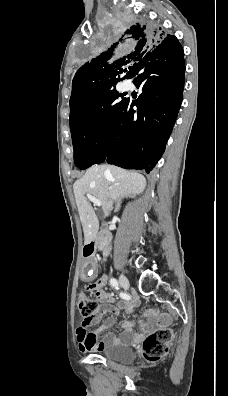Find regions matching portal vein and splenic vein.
Segmentation results:
<instances>
[{"mask_svg":"<svg viewBox=\"0 0 228 396\" xmlns=\"http://www.w3.org/2000/svg\"><path fill=\"white\" fill-rule=\"evenodd\" d=\"M88 199L95 205V206H101L102 203L100 200L92 196L91 194H87Z\"/></svg>","mask_w":228,"mask_h":396,"instance_id":"18ae733b","label":"portal vein and splenic vein"}]
</instances>
